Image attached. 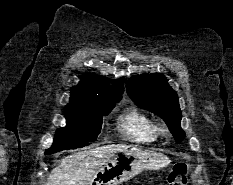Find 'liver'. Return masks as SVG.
<instances>
[{
	"label": "liver",
	"mask_w": 233,
	"mask_h": 185,
	"mask_svg": "<svg viewBox=\"0 0 233 185\" xmlns=\"http://www.w3.org/2000/svg\"><path fill=\"white\" fill-rule=\"evenodd\" d=\"M127 148L113 144L70 154L51 171L45 185H86L112 156Z\"/></svg>",
	"instance_id": "1"
}]
</instances>
